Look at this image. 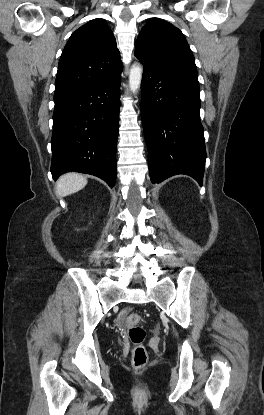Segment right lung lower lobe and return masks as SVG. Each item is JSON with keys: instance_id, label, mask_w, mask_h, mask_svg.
I'll use <instances>...</instances> for the list:
<instances>
[{"instance_id": "right-lung-lower-lobe-1", "label": "right lung lower lobe", "mask_w": 264, "mask_h": 415, "mask_svg": "<svg viewBox=\"0 0 264 415\" xmlns=\"http://www.w3.org/2000/svg\"><path fill=\"white\" fill-rule=\"evenodd\" d=\"M121 73L102 82L54 94L51 173L91 174L116 181Z\"/></svg>"}]
</instances>
